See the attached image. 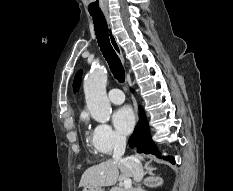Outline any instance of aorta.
<instances>
[{
  "label": "aorta",
  "mask_w": 233,
  "mask_h": 191,
  "mask_svg": "<svg viewBox=\"0 0 233 191\" xmlns=\"http://www.w3.org/2000/svg\"><path fill=\"white\" fill-rule=\"evenodd\" d=\"M106 70L95 67L84 80V93L87 108L93 119L106 123L110 119L111 105L106 94Z\"/></svg>",
  "instance_id": "aorta-1"
}]
</instances>
